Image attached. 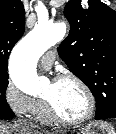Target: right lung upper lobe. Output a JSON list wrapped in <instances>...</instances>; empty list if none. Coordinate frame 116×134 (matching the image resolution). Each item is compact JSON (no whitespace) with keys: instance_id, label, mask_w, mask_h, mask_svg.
Instances as JSON below:
<instances>
[{"instance_id":"cb5924a9","label":"right lung upper lobe","mask_w":116,"mask_h":134,"mask_svg":"<svg viewBox=\"0 0 116 134\" xmlns=\"http://www.w3.org/2000/svg\"><path fill=\"white\" fill-rule=\"evenodd\" d=\"M25 30V11L20 0H0V74H8L10 51Z\"/></svg>"}]
</instances>
